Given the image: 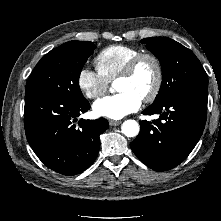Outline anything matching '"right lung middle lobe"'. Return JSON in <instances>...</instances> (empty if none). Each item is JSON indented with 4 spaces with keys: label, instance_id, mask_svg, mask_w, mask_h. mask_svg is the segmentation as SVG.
Instances as JSON below:
<instances>
[{
    "label": "right lung middle lobe",
    "instance_id": "dd1d6c3e",
    "mask_svg": "<svg viewBox=\"0 0 221 221\" xmlns=\"http://www.w3.org/2000/svg\"><path fill=\"white\" fill-rule=\"evenodd\" d=\"M95 48L89 41H69L51 50L32 71L26 92L38 91L72 102L84 101L79 77L84 63Z\"/></svg>",
    "mask_w": 221,
    "mask_h": 221
}]
</instances>
